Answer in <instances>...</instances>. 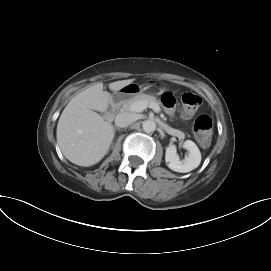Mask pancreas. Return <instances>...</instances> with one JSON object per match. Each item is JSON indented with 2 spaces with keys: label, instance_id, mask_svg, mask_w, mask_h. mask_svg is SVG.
Wrapping results in <instances>:
<instances>
[{
  "label": "pancreas",
  "instance_id": "cf45deb5",
  "mask_svg": "<svg viewBox=\"0 0 271 271\" xmlns=\"http://www.w3.org/2000/svg\"><path fill=\"white\" fill-rule=\"evenodd\" d=\"M137 101H145L148 103V105L154 103V104L160 106V103L156 100V98L154 96L140 93V94H138L128 100H125L122 104V109L123 110H130L131 105Z\"/></svg>",
  "mask_w": 271,
  "mask_h": 271
}]
</instances>
